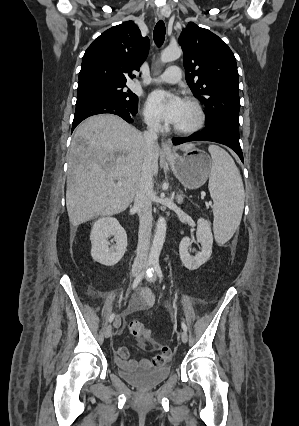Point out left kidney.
I'll list each match as a JSON object with an SVG mask.
<instances>
[{"label":"left kidney","mask_w":299,"mask_h":426,"mask_svg":"<svg viewBox=\"0 0 299 426\" xmlns=\"http://www.w3.org/2000/svg\"><path fill=\"white\" fill-rule=\"evenodd\" d=\"M197 242L201 244V251L192 256L188 248L191 239L184 237L179 244V254L183 265L189 270H196L206 263L212 254L213 235L209 221L199 218L196 231Z\"/></svg>","instance_id":"left-kidney-1"}]
</instances>
